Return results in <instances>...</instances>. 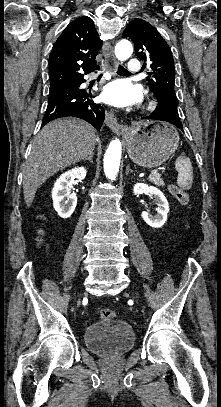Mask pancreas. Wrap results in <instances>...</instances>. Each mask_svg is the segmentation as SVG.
<instances>
[{"mask_svg":"<svg viewBox=\"0 0 221 407\" xmlns=\"http://www.w3.org/2000/svg\"><path fill=\"white\" fill-rule=\"evenodd\" d=\"M149 181L153 182L157 186H164V181L160 177V174H151L149 176Z\"/></svg>","mask_w":221,"mask_h":407,"instance_id":"obj_1","label":"pancreas"}]
</instances>
